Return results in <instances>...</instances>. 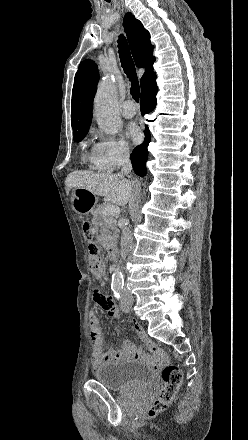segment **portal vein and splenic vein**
<instances>
[{"mask_svg":"<svg viewBox=\"0 0 248 440\" xmlns=\"http://www.w3.org/2000/svg\"><path fill=\"white\" fill-rule=\"evenodd\" d=\"M103 213L108 216H117L120 214V208L115 205H108L103 210Z\"/></svg>","mask_w":248,"mask_h":440,"instance_id":"obj_1","label":"portal vein and splenic vein"}]
</instances>
